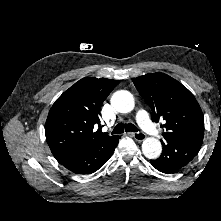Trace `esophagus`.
I'll list each match as a JSON object with an SVG mask.
<instances>
[{"instance_id": "1", "label": "esophagus", "mask_w": 221, "mask_h": 221, "mask_svg": "<svg viewBox=\"0 0 221 221\" xmlns=\"http://www.w3.org/2000/svg\"><path fill=\"white\" fill-rule=\"evenodd\" d=\"M129 135L139 142L145 140L146 138V135L144 133H129Z\"/></svg>"}]
</instances>
